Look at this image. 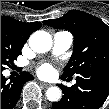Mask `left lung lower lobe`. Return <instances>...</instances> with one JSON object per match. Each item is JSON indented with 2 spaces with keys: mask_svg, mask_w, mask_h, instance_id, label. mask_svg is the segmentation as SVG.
Returning <instances> with one entry per match:
<instances>
[{
  "mask_svg": "<svg viewBox=\"0 0 109 109\" xmlns=\"http://www.w3.org/2000/svg\"><path fill=\"white\" fill-rule=\"evenodd\" d=\"M59 86L64 95L53 109H99L109 95V71L91 69L77 76L72 87Z\"/></svg>",
  "mask_w": 109,
  "mask_h": 109,
  "instance_id": "left-lung-lower-lobe-1",
  "label": "left lung lower lobe"
}]
</instances>
